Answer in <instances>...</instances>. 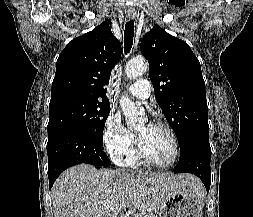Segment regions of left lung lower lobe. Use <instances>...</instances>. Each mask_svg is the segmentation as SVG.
I'll use <instances>...</instances> for the list:
<instances>
[{"label":"left lung lower lobe","mask_w":253,"mask_h":217,"mask_svg":"<svg viewBox=\"0 0 253 217\" xmlns=\"http://www.w3.org/2000/svg\"><path fill=\"white\" fill-rule=\"evenodd\" d=\"M211 148L209 136L191 134L180 145V158L174 173H192L204 183L207 192L211 184Z\"/></svg>","instance_id":"obj_1"}]
</instances>
